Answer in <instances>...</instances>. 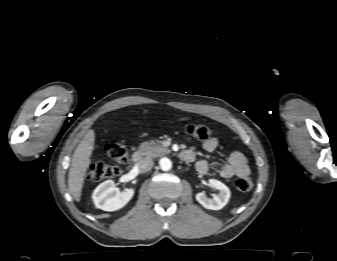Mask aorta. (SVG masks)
Wrapping results in <instances>:
<instances>
[{
  "instance_id": "aorta-1",
  "label": "aorta",
  "mask_w": 337,
  "mask_h": 261,
  "mask_svg": "<svg viewBox=\"0 0 337 261\" xmlns=\"http://www.w3.org/2000/svg\"><path fill=\"white\" fill-rule=\"evenodd\" d=\"M159 165L161 167L162 170L164 171H168L172 168V162L169 158H161L159 161Z\"/></svg>"
}]
</instances>
